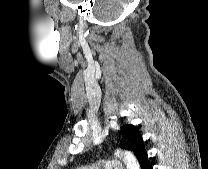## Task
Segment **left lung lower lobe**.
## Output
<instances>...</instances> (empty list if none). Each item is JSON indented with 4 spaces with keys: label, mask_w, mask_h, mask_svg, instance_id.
<instances>
[{
    "label": "left lung lower lobe",
    "mask_w": 208,
    "mask_h": 169,
    "mask_svg": "<svg viewBox=\"0 0 208 169\" xmlns=\"http://www.w3.org/2000/svg\"><path fill=\"white\" fill-rule=\"evenodd\" d=\"M138 161L141 169H153L152 164L149 162L146 150L140 154Z\"/></svg>",
    "instance_id": "obj_1"
}]
</instances>
